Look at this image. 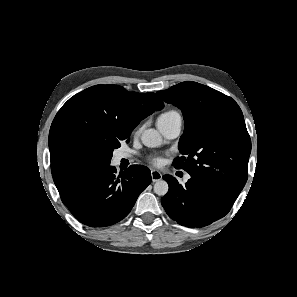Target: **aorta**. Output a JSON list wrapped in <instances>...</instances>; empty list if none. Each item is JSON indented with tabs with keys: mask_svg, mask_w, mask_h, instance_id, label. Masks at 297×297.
I'll use <instances>...</instances> for the list:
<instances>
[{
	"mask_svg": "<svg viewBox=\"0 0 297 297\" xmlns=\"http://www.w3.org/2000/svg\"><path fill=\"white\" fill-rule=\"evenodd\" d=\"M142 143L147 147H156L161 144L162 138L160 133L155 129H147L142 133ZM169 189L168 183L163 180H157L154 184V192L159 196L167 194Z\"/></svg>",
	"mask_w": 297,
	"mask_h": 297,
	"instance_id": "1",
	"label": "aorta"
}]
</instances>
